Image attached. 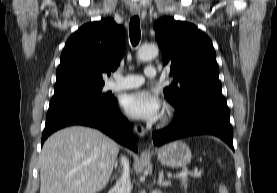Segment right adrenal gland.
Masks as SVG:
<instances>
[{"label": "right adrenal gland", "mask_w": 277, "mask_h": 193, "mask_svg": "<svg viewBox=\"0 0 277 193\" xmlns=\"http://www.w3.org/2000/svg\"><path fill=\"white\" fill-rule=\"evenodd\" d=\"M114 179H115V177L111 178V181L114 180Z\"/></svg>", "instance_id": "right-adrenal-gland-1"}]
</instances>
